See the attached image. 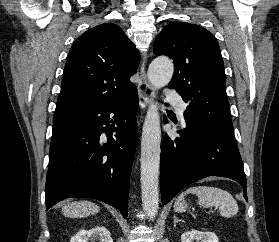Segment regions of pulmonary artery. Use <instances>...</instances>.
<instances>
[{"mask_svg":"<svg viewBox=\"0 0 279 242\" xmlns=\"http://www.w3.org/2000/svg\"><path fill=\"white\" fill-rule=\"evenodd\" d=\"M167 100L168 102L175 107L178 114L182 117L185 110H186V104L181 98L180 95L174 93V92H168L167 93Z\"/></svg>","mask_w":279,"mask_h":242,"instance_id":"pulmonary-artery-1","label":"pulmonary artery"}]
</instances>
